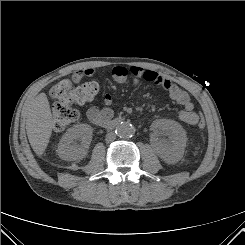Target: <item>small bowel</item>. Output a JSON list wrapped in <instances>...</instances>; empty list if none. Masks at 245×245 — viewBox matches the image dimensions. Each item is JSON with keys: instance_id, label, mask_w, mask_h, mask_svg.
Returning a JSON list of instances; mask_svg holds the SVG:
<instances>
[{"instance_id": "small-bowel-1", "label": "small bowel", "mask_w": 245, "mask_h": 245, "mask_svg": "<svg viewBox=\"0 0 245 245\" xmlns=\"http://www.w3.org/2000/svg\"><path fill=\"white\" fill-rule=\"evenodd\" d=\"M96 72L95 68H86L73 73L72 80L79 83L85 76H92ZM113 79L120 84H123L131 79L132 85L136 86L142 80L154 83L165 89L170 98L180 104L183 108L179 113V119L189 125H196L199 120V114L194 110L189 94L181 89L177 84L172 82L166 76L153 71L145 70L138 66L126 68L124 66H115L111 71ZM104 107L89 105L86 110L87 118L94 124L101 126L103 122L109 121L113 117V110L110 107L113 98L110 94L104 96Z\"/></svg>"}]
</instances>
